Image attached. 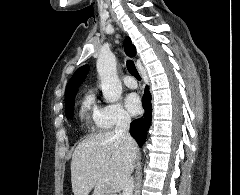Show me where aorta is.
Wrapping results in <instances>:
<instances>
[{"label":"aorta","instance_id":"obj_1","mask_svg":"<svg viewBox=\"0 0 240 195\" xmlns=\"http://www.w3.org/2000/svg\"><path fill=\"white\" fill-rule=\"evenodd\" d=\"M100 86L106 101L121 98L122 84L117 76L116 58L112 52H102L96 64Z\"/></svg>","mask_w":240,"mask_h":195}]
</instances>
